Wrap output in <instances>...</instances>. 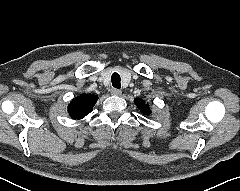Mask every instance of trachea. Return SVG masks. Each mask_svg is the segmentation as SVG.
I'll list each match as a JSON object with an SVG mask.
<instances>
[{
    "label": "trachea",
    "instance_id": "3493384b",
    "mask_svg": "<svg viewBox=\"0 0 240 191\" xmlns=\"http://www.w3.org/2000/svg\"><path fill=\"white\" fill-rule=\"evenodd\" d=\"M111 80H112L113 87H115L117 89L121 88V82H120L121 79H120V75L118 73H113Z\"/></svg>",
    "mask_w": 240,
    "mask_h": 191
}]
</instances>
